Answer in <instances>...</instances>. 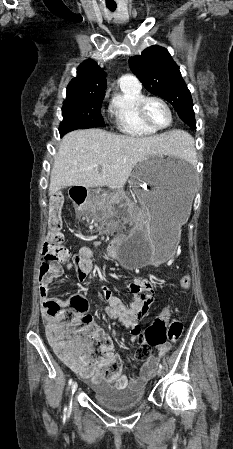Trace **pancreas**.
Masks as SVG:
<instances>
[{
	"label": "pancreas",
	"instance_id": "cf45deb5",
	"mask_svg": "<svg viewBox=\"0 0 233 449\" xmlns=\"http://www.w3.org/2000/svg\"><path fill=\"white\" fill-rule=\"evenodd\" d=\"M102 204L105 207L107 213L111 214L112 213V201L108 200V197H103L102 198ZM145 218V216L143 214H141L139 211H134L133 212V219L135 221H143Z\"/></svg>",
	"mask_w": 233,
	"mask_h": 449
}]
</instances>
